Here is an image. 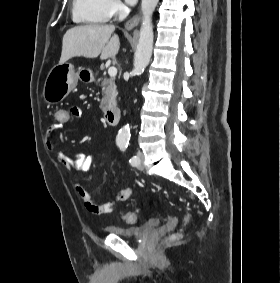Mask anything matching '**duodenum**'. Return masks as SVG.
Masks as SVG:
<instances>
[{
	"label": "duodenum",
	"instance_id": "duodenum-1",
	"mask_svg": "<svg viewBox=\"0 0 280 283\" xmlns=\"http://www.w3.org/2000/svg\"><path fill=\"white\" fill-rule=\"evenodd\" d=\"M120 114H121L120 108L115 106L105 111L104 118L109 125L115 126L119 122Z\"/></svg>",
	"mask_w": 280,
	"mask_h": 283
}]
</instances>
